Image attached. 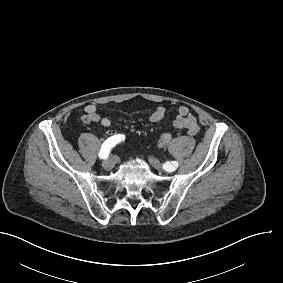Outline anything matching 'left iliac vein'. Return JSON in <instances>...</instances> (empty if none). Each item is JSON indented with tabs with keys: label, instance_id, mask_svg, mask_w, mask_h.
Wrapping results in <instances>:
<instances>
[{
	"label": "left iliac vein",
	"instance_id": "4c4485c4",
	"mask_svg": "<svg viewBox=\"0 0 283 283\" xmlns=\"http://www.w3.org/2000/svg\"><path fill=\"white\" fill-rule=\"evenodd\" d=\"M148 159H149V162L152 164L153 167H155L156 169H161L162 166H161L158 159H156L153 156H150ZM166 170L171 172V171H173V167L169 166V167L166 168Z\"/></svg>",
	"mask_w": 283,
	"mask_h": 283
}]
</instances>
